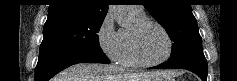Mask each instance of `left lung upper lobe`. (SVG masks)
Instances as JSON below:
<instances>
[{
    "mask_svg": "<svg viewBox=\"0 0 237 81\" xmlns=\"http://www.w3.org/2000/svg\"><path fill=\"white\" fill-rule=\"evenodd\" d=\"M144 6L173 41L166 65L206 60L189 0H144Z\"/></svg>",
    "mask_w": 237,
    "mask_h": 81,
    "instance_id": "left-lung-upper-lobe-1",
    "label": "left lung upper lobe"
}]
</instances>
